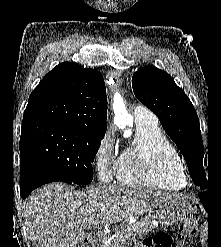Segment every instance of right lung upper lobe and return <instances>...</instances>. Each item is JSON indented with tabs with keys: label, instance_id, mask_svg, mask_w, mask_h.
Segmentation results:
<instances>
[{
	"label": "right lung upper lobe",
	"instance_id": "cb5924a9",
	"mask_svg": "<svg viewBox=\"0 0 221 247\" xmlns=\"http://www.w3.org/2000/svg\"><path fill=\"white\" fill-rule=\"evenodd\" d=\"M107 97L102 74L63 62L45 75L29 97L22 129L70 125L105 135Z\"/></svg>",
	"mask_w": 221,
	"mask_h": 247
}]
</instances>
